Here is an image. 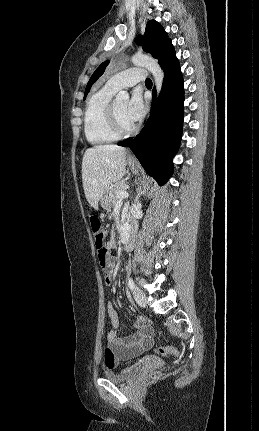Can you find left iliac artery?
Listing matches in <instances>:
<instances>
[{"instance_id":"left-iliac-artery-1","label":"left iliac artery","mask_w":259,"mask_h":431,"mask_svg":"<svg viewBox=\"0 0 259 431\" xmlns=\"http://www.w3.org/2000/svg\"><path fill=\"white\" fill-rule=\"evenodd\" d=\"M128 286L131 290H133L134 286H135L132 278H130V277L128 278Z\"/></svg>"}]
</instances>
